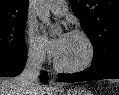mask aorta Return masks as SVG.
Returning <instances> with one entry per match:
<instances>
[{
	"label": "aorta",
	"mask_w": 119,
	"mask_h": 95,
	"mask_svg": "<svg viewBox=\"0 0 119 95\" xmlns=\"http://www.w3.org/2000/svg\"><path fill=\"white\" fill-rule=\"evenodd\" d=\"M53 0H37L36 1V12L39 19L47 24L51 29V32L57 31L60 29L58 25L51 24L50 21V7Z\"/></svg>",
	"instance_id": "aorta-1"
}]
</instances>
